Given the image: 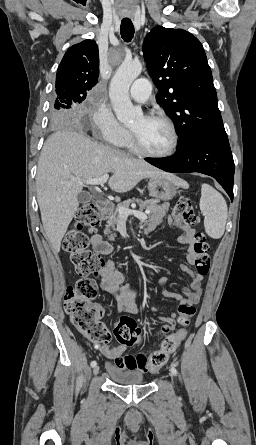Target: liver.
Instances as JSON below:
<instances>
[{
  "mask_svg": "<svg viewBox=\"0 0 256 445\" xmlns=\"http://www.w3.org/2000/svg\"><path fill=\"white\" fill-rule=\"evenodd\" d=\"M108 173L113 174L108 185L118 193L128 192L142 179L156 176H170L177 185L185 186L179 178L97 144L72 129L53 133L39 157L36 186L43 227L56 253L78 209V195L84 186L83 182L72 179L100 178Z\"/></svg>",
  "mask_w": 256,
  "mask_h": 445,
  "instance_id": "1",
  "label": "liver"
}]
</instances>
